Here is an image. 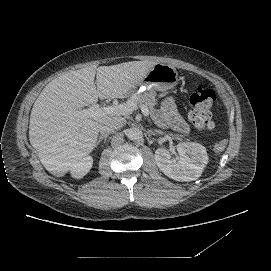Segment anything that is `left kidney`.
<instances>
[{
	"instance_id": "1",
	"label": "left kidney",
	"mask_w": 271,
	"mask_h": 271,
	"mask_svg": "<svg viewBox=\"0 0 271 271\" xmlns=\"http://www.w3.org/2000/svg\"><path fill=\"white\" fill-rule=\"evenodd\" d=\"M176 158H171L167 148L155 150V163L164 175L176 181H194L198 179L204 166L207 164L208 155L203 145L198 143H178Z\"/></svg>"
}]
</instances>
